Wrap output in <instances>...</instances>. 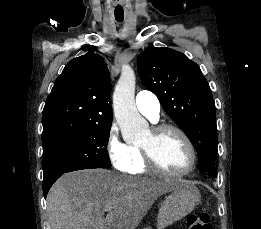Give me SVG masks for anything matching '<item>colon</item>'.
I'll list each match as a JSON object with an SVG mask.
<instances>
[{
  "mask_svg": "<svg viewBox=\"0 0 261 229\" xmlns=\"http://www.w3.org/2000/svg\"><path fill=\"white\" fill-rule=\"evenodd\" d=\"M187 229H213L207 213H193L188 216Z\"/></svg>",
  "mask_w": 261,
  "mask_h": 229,
  "instance_id": "obj_1",
  "label": "colon"
}]
</instances>
